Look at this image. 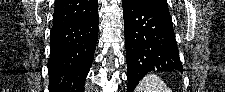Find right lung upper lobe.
I'll return each instance as SVG.
<instances>
[{
    "instance_id": "1",
    "label": "right lung upper lobe",
    "mask_w": 225,
    "mask_h": 92,
    "mask_svg": "<svg viewBox=\"0 0 225 92\" xmlns=\"http://www.w3.org/2000/svg\"><path fill=\"white\" fill-rule=\"evenodd\" d=\"M97 11V0H56L53 27L88 17Z\"/></svg>"
}]
</instances>
